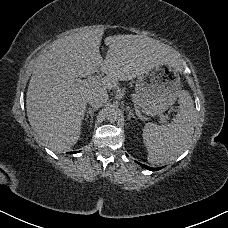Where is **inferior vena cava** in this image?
<instances>
[{
  "label": "inferior vena cava",
  "mask_w": 228,
  "mask_h": 228,
  "mask_svg": "<svg viewBox=\"0 0 228 228\" xmlns=\"http://www.w3.org/2000/svg\"><path fill=\"white\" fill-rule=\"evenodd\" d=\"M108 94L106 92L94 91L90 92L87 97V103L93 108H101L108 101Z\"/></svg>",
  "instance_id": "inferior-vena-cava-1"
}]
</instances>
